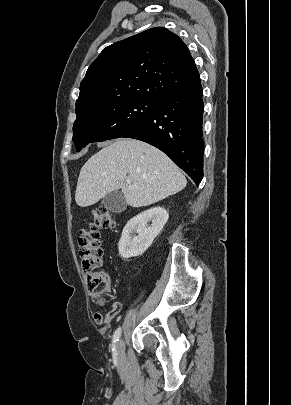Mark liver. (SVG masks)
Returning <instances> with one entry per match:
<instances>
[{
    "label": "liver",
    "mask_w": 291,
    "mask_h": 405,
    "mask_svg": "<svg viewBox=\"0 0 291 405\" xmlns=\"http://www.w3.org/2000/svg\"><path fill=\"white\" fill-rule=\"evenodd\" d=\"M186 184L185 176L162 151L139 140L121 138L102 148L81 168L75 201L81 207L90 206L121 189L126 203L137 208L174 195Z\"/></svg>",
    "instance_id": "6515ba94"
}]
</instances>
